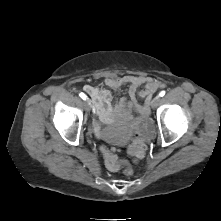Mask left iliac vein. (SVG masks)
Listing matches in <instances>:
<instances>
[{
  "mask_svg": "<svg viewBox=\"0 0 221 221\" xmlns=\"http://www.w3.org/2000/svg\"><path fill=\"white\" fill-rule=\"evenodd\" d=\"M160 98L159 97H155L152 101V108H155L158 105ZM149 108L147 107V113H148Z\"/></svg>",
  "mask_w": 221,
  "mask_h": 221,
  "instance_id": "1",
  "label": "left iliac vein"
}]
</instances>
